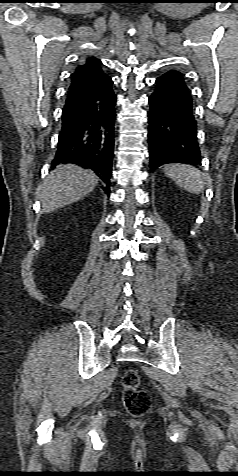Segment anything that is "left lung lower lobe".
Segmentation results:
<instances>
[{
    "label": "left lung lower lobe",
    "mask_w": 238,
    "mask_h": 476,
    "mask_svg": "<svg viewBox=\"0 0 238 476\" xmlns=\"http://www.w3.org/2000/svg\"><path fill=\"white\" fill-rule=\"evenodd\" d=\"M149 104L150 170L174 162L200 163L193 101L182 74L170 70L157 78Z\"/></svg>",
    "instance_id": "0a47b994"
}]
</instances>
